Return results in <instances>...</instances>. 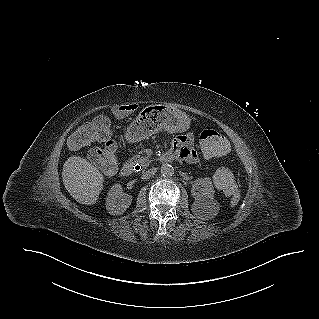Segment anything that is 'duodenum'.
<instances>
[{
    "mask_svg": "<svg viewBox=\"0 0 319 319\" xmlns=\"http://www.w3.org/2000/svg\"><path fill=\"white\" fill-rule=\"evenodd\" d=\"M173 158H174V155L170 151H168L160 156L161 161H169V160H172ZM133 171H134V166L130 163H125L122 166L120 173L122 176L128 177V176L132 175Z\"/></svg>",
    "mask_w": 319,
    "mask_h": 319,
    "instance_id": "obj_1",
    "label": "duodenum"
}]
</instances>
